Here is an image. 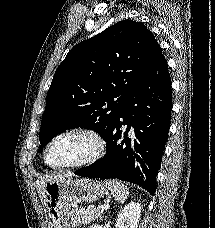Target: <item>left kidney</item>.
<instances>
[{"instance_id": "1", "label": "left kidney", "mask_w": 215, "mask_h": 228, "mask_svg": "<svg viewBox=\"0 0 215 228\" xmlns=\"http://www.w3.org/2000/svg\"><path fill=\"white\" fill-rule=\"evenodd\" d=\"M142 210L141 204H136V202L127 204L117 218L116 228H138Z\"/></svg>"}]
</instances>
